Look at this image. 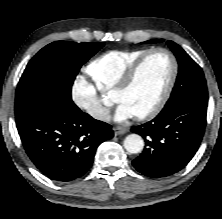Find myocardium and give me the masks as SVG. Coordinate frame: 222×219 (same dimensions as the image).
I'll list each match as a JSON object with an SVG mask.
<instances>
[{"mask_svg":"<svg viewBox=\"0 0 222 219\" xmlns=\"http://www.w3.org/2000/svg\"><path fill=\"white\" fill-rule=\"evenodd\" d=\"M165 53L171 61V72H170V76L166 85V88L162 94V96L160 97V99L158 100V102L148 111L139 114V115H135L137 120L143 121V120H148L151 118H154L155 116H157L162 109L164 108V106L166 105V103L168 102L170 95L173 91L176 79H177V75H178V61L176 56L174 55V53L164 47H156V48H152L147 50L146 52H144L142 55H140L129 67L128 69L124 72V74L122 75L119 83L117 84V86L114 88V94H120L124 91H126L133 83L139 68L141 67L142 63L152 54L154 53Z\"/></svg>","mask_w":222,"mask_h":219,"instance_id":"obj_1","label":"myocardium"}]
</instances>
